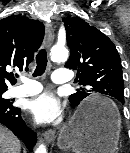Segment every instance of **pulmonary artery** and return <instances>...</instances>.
Segmentation results:
<instances>
[{
	"label": "pulmonary artery",
	"instance_id": "1",
	"mask_svg": "<svg viewBox=\"0 0 130 153\" xmlns=\"http://www.w3.org/2000/svg\"><path fill=\"white\" fill-rule=\"evenodd\" d=\"M71 73L67 70H56L52 75V80L56 84H65L71 80ZM22 85L13 87L7 92L8 98L33 96L42 91V85L28 78H21Z\"/></svg>",
	"mask_w": 130,
	"mask_h": 153
}]
</instances>
